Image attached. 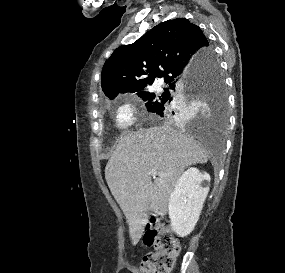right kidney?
Here are the masks:
<instances>
[{"label":"right kidney","instance_id":"ca27d5eb","mask_svg":"<svg viewBox=\"0 0 285 273\" xmlns=\"http://www.w3.org/2000/svg\"><path fill=\"white\" fill-rule=\"evenodd\" d=\"M210 176L197 168H189L177 180L169 198L172 230L180 237L189 235L201 213L209 192Z\"/></svg>","mask_w":285,"mask_h":273}]
</instances>
